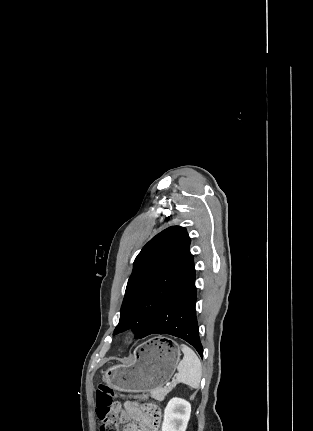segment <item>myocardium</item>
Instances as JSON below:
<instances>
[{"mask_svg":"<svg viewBox=\"0 0 313 431\" xmlns=\"http://www.w3.org/2000/svg\"><path fill=\"white\" fill-rule=\"evenodd\" d=\"M134 336L135 334L133 331L126 332L121 339L122 344L124 345L129 344L133 340Z\"/></svg>","mask_w":313,"mask_h":431,"instance_id":"1","label":"myocardium"}]
</instances>
